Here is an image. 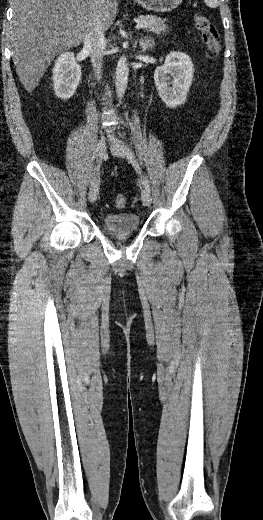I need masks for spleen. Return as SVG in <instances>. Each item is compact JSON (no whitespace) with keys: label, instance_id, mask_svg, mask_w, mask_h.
Here are the masks:
<instances>
[{"label":"spleen","instance_id":"spleen-1","mask_svg":"<svg viewBox=\"0 0 263 520\" xmlns=\"http://www.w3.org/2000/svg\"><path fill=\"white\" fill-rule=\"evenodd\" d=\"M204 1L211 8H216L218 6V0H204Z\"/></svg>","mask_w":263,"mask_h":520}]
</instances>
